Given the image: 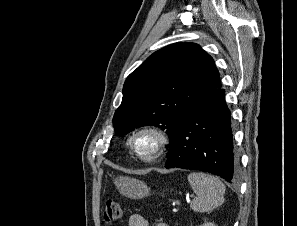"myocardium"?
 <instances>
[{
  "label": "myocardium",
  "instance_id": "myocardium-1",
  "mask_svg": "<svg viewBox=\"0 0 297 226\" xmlns=\"http://www.w3.org/2000/svg\"><path fill=\"white\" fill-rule=\"evenodd\" d=\"M152 135L155 138V143L152 148L143 152L138 147V140L143 135ZM170 142L168 134L159 126L147 124L135 129L128 141L131 152L135 157L144 163H152L162 157Z\"/></svg>",
  "mask_w": 297,
  "mask_h": 226
}]
</instances>
